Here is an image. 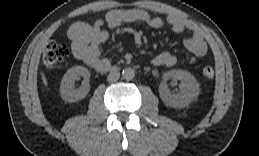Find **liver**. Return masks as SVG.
Instances as JSON below:
<instances>
[{"instance_id": "6515ba94", "label": "liver", "mask_w": 259, "mask_h": 156, "mask_svg": "<svg viewBox=\"0 0 259 156\" xmlns=\"http://www.w3.org/2000/svg\"><path fill=\"white\" fill-rule=\"evenodd\" d=\"M41 79H42L44 86L47 87L48 82H47V78H46L45 74L43 73V71H41Z\"/></svg>"}]
</instances>
